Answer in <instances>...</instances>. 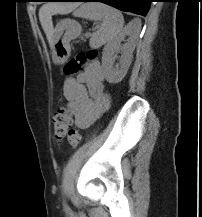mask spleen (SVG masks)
<instances>
[{"label":"spleen","mask_w":202,"mask_h":217,"mask_svg":"<svg viewBox=\"0 0 202 217\" xmlns=\"http://www.w3.org/2000/svg\"><path fill=\"white\" fill-rule=\"evenodd\" d=\"M73 15L89 20L102 21L98 31L90 39V46L93 48H98L111 41L122 31L124 25L122 13L103 3L83 4Z\"/></svg>","instance_id":"spleen-1"}]
</instances>
